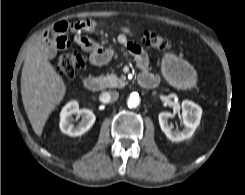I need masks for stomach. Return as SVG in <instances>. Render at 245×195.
<instances>
[{"label": "stomach", "mask_w": 245, "mask_h": 195, "mask_svg": "<svg viewBox=\"0 0 245 195\" xmlns=\"http://www.w3.org/2000/svg\"><path fill=\"white\" fill-rule=\"evenodd\" d=\"M162 69L166 79L176 88L188 89L195 85L196 75L193 69L172 54L165 55Z\"/></svg>", "instance_id": "0dacf381"}]
</instances>
